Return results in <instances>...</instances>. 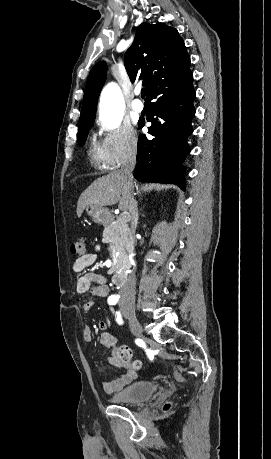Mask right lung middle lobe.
I'll use <instances>...</instances> for the list:
<instances>
[{"label":"right lung middle lobe","mask_w":271,"mask_h":459,"mask_svg":"<svg viewBox=\"0 0 271 459\" xmlns=\"http://www.w3.org/2000/svg\"><path fill=\"white\" fill-rule=\"evenodd\" d=\"M93 122H94V119L84 120V121L79 122L77 138H78V144L80 146L84 145L89 129L92 127Z\"/></svg>","instance_id":"1"}]
</instances>
